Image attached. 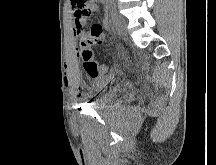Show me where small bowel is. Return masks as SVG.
Returning a JSON list of instances; mask_svg holds the SVG:
<instances>
[{
  "instance_id": "small-bowel-1",
  "label": "small bowel",
  "mask_w": 216,
  "mask_h": 165,
  "mask_svg": "<svg viewBox=\"0 0 216 165\" xmlns=\"http://www.w3.org/2000/svg\"><path fill=\"white\" fill-rule=\"evenodd\" d=\"M98 1L105 2L106 0H87L86 5H76V8L72 4L73 20H74V25H73L74 40H80L81 42L87 40V34L84 31V27L86 26L90 15L98 10ZM102 22L104 26H107L108 24L107 17H104ZM84 67L87 73L91 77L98 76V74L92 72L91 70L86 68V66Z\"/></svg>"
}]
</instances>
